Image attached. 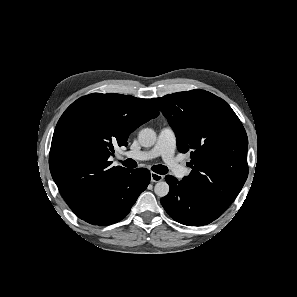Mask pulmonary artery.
<instances>
[{
    "label": "pulmonary artery",
    "mask_w": 297,
    "mask_h": 297,
    "mask_svg": "<svg viewBox=\"0 0 297 297\" xmlns=\"http://www.w3.org/2000/svg\"><path fill=\"white\" fill-rule=\"evenodd\" d=\"M176 135L172 128H163L157 138L155 146L147 151H131L127 156L137 160H149L156 157H162L173 174L182 179L188 174V169L178 163L174 157L176 149Z\"/></svg>",
    "instance_id": "1"
}]
</instances>
